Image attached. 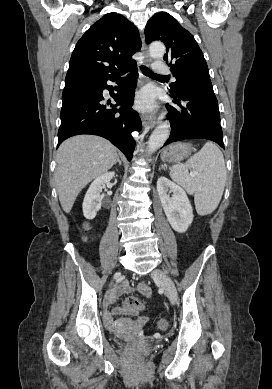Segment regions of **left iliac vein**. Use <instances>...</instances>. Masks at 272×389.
Segmentation results:
<instances>
[{
	"label": "left iliac vein",
	"mask_w": 272,
	"mask_h": 389,
	"mask_svg": "<svg viewBox=\"0 0 272 389\" xmlns=\"http://www.w3.org/2000/svg\"><path fill=\"white\" fill-rule=\"evenodd\" d=\"M151 277L154 281L160 283L166 296L172 303H175L177 301V290L171 278L160 269H154L151 273Z\"/></svg>",
	"instance_id": "left-iliac-vein-1"
}]
</instances>
